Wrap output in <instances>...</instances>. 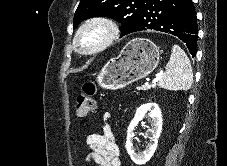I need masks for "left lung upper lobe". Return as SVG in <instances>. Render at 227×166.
<instances>
[{
	"label": "left lung upper lobe",
	"mask_w": 227,
	"mask_h": 166,
	"mask_svg": "<svg viewBox=\"0 0 227 166\" xmlns=\"http://www.w3.org/2000/svg\"><path fill=\"white\" fill-rule=\"evenodd\" d=\"M147 0H81L74 15V28L91 17H110L122 25L121 36L137 28Z\"/></svg>",
	"instance_id": "5c2ea615"
}]
</instances>
